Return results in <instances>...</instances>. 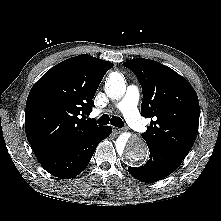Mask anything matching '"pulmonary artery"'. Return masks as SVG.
<instances>
[{
	"mask_svg": "<svg viewBox=\"0 0 221 221\" xmlns=\"http://www.w3.org/2000/svg\"><path fill=\"white\" fill-rule=\"evenodd\" d=\"M139 101V89L135 85H129L116 107L123 113L127 122L138 132H144L146 129L145 123L139 111L137 104Z\"/></svg>",
	"mask_w": 221,
	"mask_h": 221,
	"instance_id": "pulmonary-artery-1",
	"label": "pulmonary artery"
}]
</instances>
